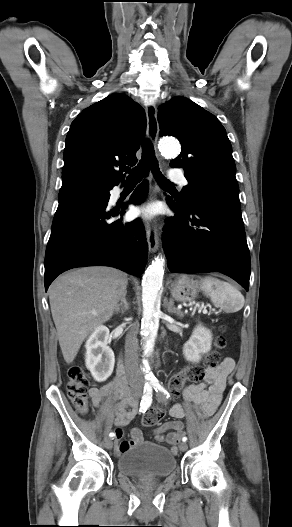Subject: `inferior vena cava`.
Segmentation results:
<instances>
[{
	"label": "inferior vena cava",
	"mask_w": 292,
	"mask_h": 527,
	"mask_svg": "<svg viewBox=\"0 0 292 527\" xmlns=\"http://www.w3.org/2000/svg\"><path fill=\"white\" fill-rule=\"evenodd\" d=\"M138 340L136 333L131 331L125 340V366L132 388L143 386V374L138 366Z\"/></svg>",
	"instance_id": "inferior-vena-cava-1"
}]
</instances>
